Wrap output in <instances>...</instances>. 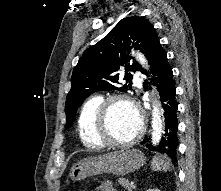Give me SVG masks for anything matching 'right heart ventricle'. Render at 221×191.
Wrapping results in <instances>:
<instances>
[{
  "instance_id": "obj_1",
  "label": "right heart ventricle",
  "mask_w": 221,
  "mask_h": 191,
  "mask_svg": "<svg viewBox=\"0 0 221 191\" xmlns=\"http://www.w3.org/2000/svg\"><path fill=\"white\" fill-rule=\"evenodd\" d=\"M102 102L101 96H92L83 103L78 114L77 131L80 141L90 149L103 147L96 135L97 111Z\"/></svg>"
}]
</instances>
